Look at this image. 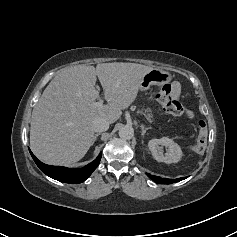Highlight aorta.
Instances as JSON below:
<instances>
[{
    "label": "aorta",
    "mask_w": 237,
    "mask_h": 237,
    "mask_svg": "<svg viewBox=\"0 0 237 237\" xmlns=\"http://www.w3.org/2000/svg\"><path fill=\"white\" fill-rule=\"evenodd\" d=\"M134 136V130L130 126H123L119 129V137L124 140H130Z\"/></svg>",
    "instance_id": "762f6f07"
}]
</instances>
